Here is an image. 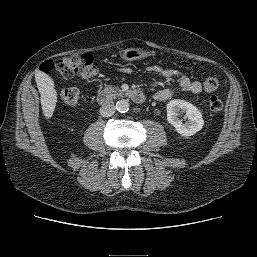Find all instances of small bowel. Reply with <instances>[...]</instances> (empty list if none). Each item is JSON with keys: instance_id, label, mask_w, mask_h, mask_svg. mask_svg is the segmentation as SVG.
Returning <instances> with one entry per match:
<instances>
[{"instance_id": "small-bowel-1", "label": "small bowel", "mask_w": 257, "mask_h": 257, "mask_svg": "<svg viewBox=\"0 0 257 257\" xmlns=\"http://www.w3.org/2000/svg\"><path fill=\"white\" fill-rule=\"evenodd\" d=\"M148 69L165 78H176L178 80L179 87L183 91L191 92L194 94H198L202 91V84L200 82L191 80L188 76L176 69L163 67L160 65H151L148 67ZM122 71L128 73L130 72V69L123 68ZM172 95L173 92L171 89L163 88L154 94V99L157 101H167L172 97Z\"/></svg>"}]
</instances>
